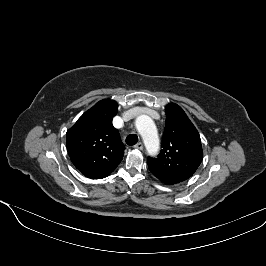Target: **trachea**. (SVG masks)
Listing matches in <instances>:
<instances>
[{"mask_svg": "<svg viewBox=\"0 0 266 266\" xmlns=\"http://www.w3.org/2000/svg\"><path fill=\"white\" fill-rule=\"evenodd\" d=\"M138 142V136L135 134H130L126 137V143L130 146L135 145Z\"/></svg>", "mask_w": 266, "mask_h": 266, "instance_id": "trachea-1", "label": "trachea"}]
</instances>
